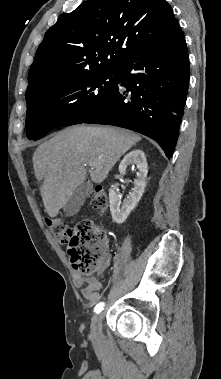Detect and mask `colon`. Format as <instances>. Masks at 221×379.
<instances>
[{
	"instance_id": "5ec220e1",
	"label": "colon",
	"mask_w": 221,
	"mask_h": 379,
	"mask_svg": "<svg viewBox=\"0 0 221 379\" xmlns=\"http://www.w3.org/2000/svg\"><path fill=\"white\" fill-rule=\"evenodd\" d=\"M92 207L100 212L107 209V196L97 186L91 193ZM53 237L68 248L73 268L81 275L94 273L106 253L105 232L89 219L80 220L75 226L67 227L58 219H47Z\"/></svg>"
}]
</instances>
